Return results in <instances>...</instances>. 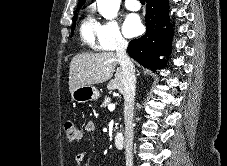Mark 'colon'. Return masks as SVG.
I'll use <instances>...</instances> for the list:
<instances>
[{"label":"colon","mask_w":227,"mask_h":166,"mask_svg":"<svg viewBox=\"0 0 227 166\" xmlns=\"http://www.w3.org/2000/svg\"><path fill=\"white\" fill-rule=\"evenodd\" d=\"M64 136L67 141L74 142L81 138V133L78 127L72 121H67L64 123Z\"/></svg>","instance_id":"obj_1"}]
</instances>
